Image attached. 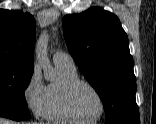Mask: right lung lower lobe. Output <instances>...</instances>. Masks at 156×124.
<instances>
[{
	"instance_id": "right-lung-lower-lobe-1",
	"label": "right lung lower lobe",
	"mask_w": 156,
	"mask_h": 124,
	"mask_svg": "<svg viewBox=\"0 0 156 124\" xmlns=\"http://www.w3.org/2000/svg\"><path fill=\"white\" fill-rule=\"evenodd\" d=\"M0 117L16 121H24L30 118L28 109L18 108L10 105H0Z\"/></svg>"
}]
</instances>
